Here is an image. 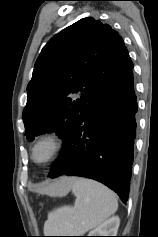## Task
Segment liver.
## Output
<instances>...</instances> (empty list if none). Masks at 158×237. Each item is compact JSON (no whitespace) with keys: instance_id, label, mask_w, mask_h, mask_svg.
I'll return each instance as SVG.
<instances>
[{"instance_id":"6515ba94","label":"liver","mask_w":158,"mask_h":237,"mask_svg":"<svg viewBox=\"0 0 158 237\" xmlns=\"http://www.w3.org/2000/svg\"><path fill=\"white\" fill-rule=\"evenodd\" d=\"M75 178L72 177H64V179H60L55 184L50 186L38 189V192L42 194L54 195L56 190L65 184H72Z\"/></svg>"}]
</instances>
